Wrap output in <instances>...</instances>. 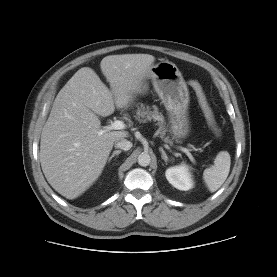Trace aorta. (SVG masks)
<instances>
[{
    "label": "aorta",
    "instance_id": "1",
    "mask_svg": "<svg viewBox=\"0 0 277 277\" xmlns=\"http://www.w3.org/2000/svg\"><path fill=\"white\" fill-rule=\"evenodd\" d=\"M151 162V158L150 155L146 152H142L139 156H138V164L140 166H148Z\"/></svg>",
    "mask_w": 277,
    "mask_h": 277
}]
</instances>
